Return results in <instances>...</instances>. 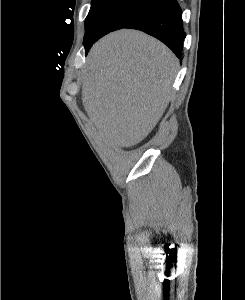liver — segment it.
<instances>
[{
  "label": "liver",
  "mask_w": 245,
  "mask_h": 300,
  "mask_svg": "<svg viewBox=\"0 0 245 300\" xmlns=\"http://www.w3.org/2000/svg\"><path fill=\"white\" fill-rule=\"evenodd\" d=\"M179 68L163 43L143 32H112L91 48L82 102L102 138L122 147L145 139L165 112Z\"/></svg>",
  "instance_id": "1"
}]
</instances>
